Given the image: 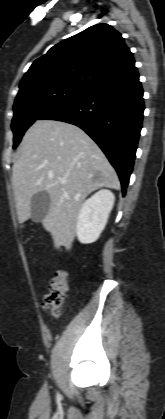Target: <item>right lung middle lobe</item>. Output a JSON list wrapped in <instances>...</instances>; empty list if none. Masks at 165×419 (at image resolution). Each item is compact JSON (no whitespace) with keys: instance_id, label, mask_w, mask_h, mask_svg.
I'll use <instances>...</instances> for the list:
<instances>
[{"instance_id":"right-lung-middle-lobe-1","label":"right lung middle lobe","mask_w":165,"mask_h":419,"mask_svg":"<svg viewBox=\"0 0 165 419\" xmlns=\"http://www.w3.org/2000/svg\"><path fill=\"white\" fill-rule=\"evenodd\" d=\"M88 92L76 88L50 87L40 89L15 99L13 105L14 117L11 128L14 133L16 148L25 131L37 120L50 111L65 104L74 102Z\"/></svg>"}]
</instances>
